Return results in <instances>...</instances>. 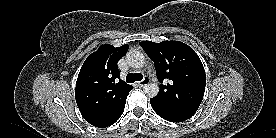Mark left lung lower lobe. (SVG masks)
Masks as SVG:
<instances>
[{
    "label": "left lung lower lobe",
    "instance_id": "left-lung-lower-lobe-1",
    "mask_svg": "<svg viewBox=\"0 0 276 138\" xmlns=\"http://www.w3.org/2000/svg\"><path fill=\"white\" fill-rule=\"evenodd\" d=\"M154 111L163 119L170 121V122H182L185 121L189 118H191L190 116H185V115H178L175 113H172L170 111L167 110H163L158 108L156 105H154L153 103H151Z\"/></svg>",
    "mask_w": 276,
    "mask_h": 138
}]
</instances>
